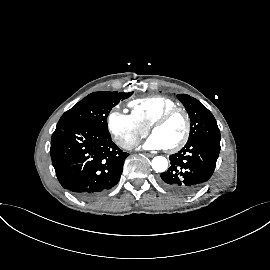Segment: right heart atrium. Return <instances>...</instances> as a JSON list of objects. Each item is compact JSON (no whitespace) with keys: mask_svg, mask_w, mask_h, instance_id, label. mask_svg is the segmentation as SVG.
<instances>
[{"mask_svg":"<svg viewBox=\"0 0 270 270\" xmlns=\"http://www.w3.org/2000/svg\"><path fill=\"white\" fill-rule=\"evenodd\" d=\"M107 128L117 144L125 149L132 148L148 133V128L141 125L133 114L118 109L108 114Z\"/></svg>","mask_w":270,"mask_h":270,"instance_id":"d8ad5b80","label":"right heart atrium"}]
</instances>
